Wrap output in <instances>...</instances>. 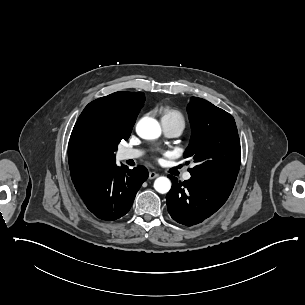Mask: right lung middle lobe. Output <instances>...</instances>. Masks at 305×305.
<instances>
[{
	"label": "right lung middle lobe",
	"instance_id": "right-lung-middle-lobe-1",
	"mask_svg": "<svg viewBox=\"0 0 305 305\" xmlns=\"http://www.w3.org/2000/svg\"><path fill=\"white\" fill-rule=\"evenodd\" d=\"M130 134H120L114 136L110 141H109V150L111 153V157L113 160H115V155L114 152L117 150L118 144L122 139L127 140L129 138Z\"/></svg>",
	"mask_w": 305,
	"mask_h": 305
}]
</instances>
